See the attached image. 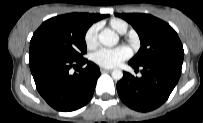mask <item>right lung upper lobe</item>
Masks as SVG:
<instances>
[{
    "mask_svg": "<svg viewBox=\"0 0 203 123\" xmlns=\"http://www.w3.org/2000/svg\"><path fill=\"white\" fill-rule=\"evenodd\" d=\"M81 14L84 16V18H85L89 23H91V25H92V23H94V22H96V21H98V20H100V19H103V18H105V17L108 16V15L89 14V13H81Z\"/></svg>",
    "mask_w": 203,
    "mask_h": 123,
    "instance_id": "1",
    "label": "right lung upper lobe"
}]
</instances>
